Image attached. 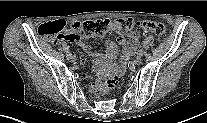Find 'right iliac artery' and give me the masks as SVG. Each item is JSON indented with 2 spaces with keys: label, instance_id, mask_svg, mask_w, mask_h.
Segmentation results:
<instances>
[{
  "label": "right iliac artery",
  "instance_id": "obj_1",
  "mask_svg": "<svg viewBox=\"0 0 207 123\" xmlns=\"http://www.w3.org/2000/svg\"><path fill=\"white\" fill-rule=\"evenodd\" d=\"M71 55H72V54H71L70 52H68V53L66 54V57L69 59Z\"/></svg>",
  "mask_w": 207,
  "mask_h": 123
}]
</instances>
